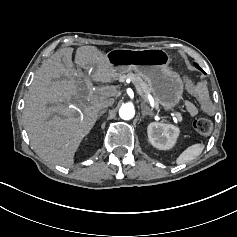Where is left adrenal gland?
<instances>
[{"label":"left adrenal gland","instance_id":"left-adrenal-gland-1","mask_svg":"<svg viewBox=\"0 0 237 237\" xmlns=\"http://www.w3.org/2000/svg\"><path fill=\"white\" fill-rule=\"evenodd\" d=\"M141 112H142V118H144L146 115L153 116L148 106L144 102L141 103Z\"/></svg>","mask_w":237,"mask_h":237}]
</instances>
